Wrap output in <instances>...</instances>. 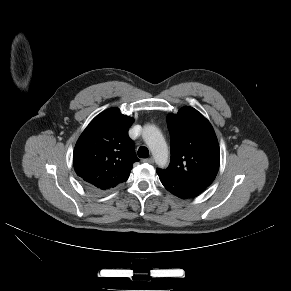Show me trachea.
I'll use <instances>...</instances> for the list:
<instances>
[{
	"mask_svg": "<svg viewBox=\"0 0 291 291\" xmlns=\"http://www.w3.org/2000/svg\"><path fill=\"white\" fill-rule=\"evenodd\" d=\"M138 156L140 158H148L149 156V151L147 149V147L145 146H141L139 149H138V152H137Z\"/></svg>",
	"mask_w": 291,
	"mask_h": 291,
	"instance_id": "obj_1",
	"label": "trachea"
}]
</instances>
